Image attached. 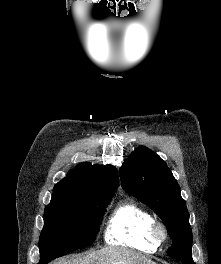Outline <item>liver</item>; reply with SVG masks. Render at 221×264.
Returning <instances> with one entry per match:
<instances>
[{
	"instance_id": "obj_1",
	"label": "liver",
	"mask_w": 221,
	"mask_h": 264,
	"mask_svg": "<svg viewBox=\"0 0 221 264\" xmlns=\"http://www.w3.org/2000/svg\"><path fill=\"white\" fill-rule=\"evenodd\" d=\"M146 261L151 260L139 252L120 247H106L70 259L62 258L51 264H142Z\"/></svg>"
}]
</instances>
